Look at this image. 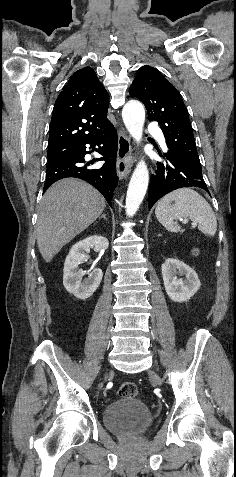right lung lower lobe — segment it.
<instances>
[{
	"label": "right lung lower lobe",
	"mask_w": 236,
	"mask_h": 477,
	"mask_svg": "<svg viewBox=\"0 0 236 477\" xmlns=\"http://www.w3.org/2000/svg\"><path fill=\"white\" fill-rule=\"evenodd\" d=\"M87 144L90 145L89 148L98 151L103 156L97 159V161H105L102 167L93 169L89 167L90 162L85 163L84 156L92 152L86 151ZM95 146H98V149H95ZM117 149V132L110 123L105 129L83 142L64 160L48 164L43 190L46 191L51 184L62 178H80L97 188L111 206L113 191L118 182L116 174Z\"/></svg>",
	"instance_id": "1"
}]
</instances>
